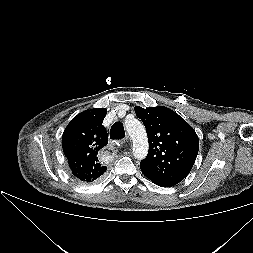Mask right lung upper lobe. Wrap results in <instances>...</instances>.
I'll list each match as a JSON object with an SVG mask.
<instances>
[{
	"instance_id": "obj_1",
	"label": "right lung upper lobe",
	"mask_w": 253,
	"mask_h": 253,
	"mask_svg": "<svg viewBox=\"0 0 253 253\" xmlns=\"http://www.w3.org/2000/svg\"><path fill=\"white\" fill-rule=\"evenodd\" d=\"M107 110H85L75 116L62 136V147L74 177L90 183L107 170L100 164L98 151L108 144V134L102 125Z\"/></svg>"
}]
</instances>
